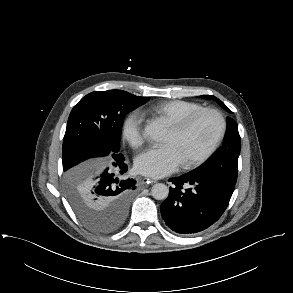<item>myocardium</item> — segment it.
I'll list each match as a JSON object with an SVG mask.
<instances>
[{"mask_svg":"<svg viewBox=\"0 0 293 293\" xmlns=\"http://www.w3.org/2000/svg\"><path fill=\"white\" fill-rule=\"evenodd\" d=\"M205 113H211L215 115L219 120V130L217 135L215 136L214 140L210 144V146L203 152L200 156L184 162V166L186 168H195L206 162L216 151L219 144L223 140L226 129H227V122L226 119L221 111L216 108L211 107H202L196 111L189 113L188 115L182 117L178 121L171 124V129L176 133H182L185 131L189 125L200 115Z\"/></svg>","mask_w":293,"mask_h":293,"instance_id":"1","label":"myocardium"}]
</instances>
